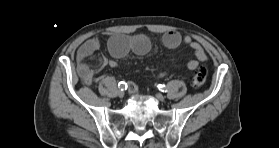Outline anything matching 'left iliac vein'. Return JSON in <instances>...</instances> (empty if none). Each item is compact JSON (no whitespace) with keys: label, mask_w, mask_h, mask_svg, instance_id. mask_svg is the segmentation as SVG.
<instances>
[{"label":"left iliac vein","mask_w":279,"mask_h":148,"mask_svg":"<svg viewBox=\"0 0 279 148\" xmlns=\"http://www.w3.org/2000/svg\"><path fill=\"white\" fill-rule=\"evenodd\" d=\"M156 98L159 100V101H165V97L162 95V94H160V93H157L156 94Z\"/></svg>","instance_id":"4c4485c4"}]
</instances>
